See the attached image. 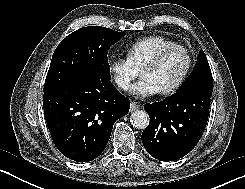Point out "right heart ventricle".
<instances>
[{
	"mask_svg": "<svg viewBox=\"0 0 245 189\" xmlns=\"http://www.w3.org/2000/svg\"><path fill=\"white\" fill-rule=\"evenodd\" d=\"M174 44L162 35L148 36L138 39L127 46L126 56L133 67L140 71L162 48Z\"/></svg>",
	"mask_w": 245,
	"mask_h": 189,
	"instance_id": "e07e8e85",
	"label": "right heart ventricle"
}]
</instances>
